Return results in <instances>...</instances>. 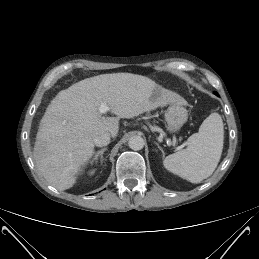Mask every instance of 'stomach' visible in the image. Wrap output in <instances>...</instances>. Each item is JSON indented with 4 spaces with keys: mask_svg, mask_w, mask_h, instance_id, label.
Returning a JSON list of instances; mask_svg holds the SVG:
<instances>
[{
    "mask_svg": "<svg viewBox=\"0 0 259 259\" xmlns=\"http://www.w3.org/2000/svg\"><path fill=\"white\" fill-rule=\"evenodd\" d=\"M188 113L187 110L180 104H171L166 113L165 120L167 122V130L170 133H177L187 121Z\"/></svg>",
    "mask_w": 259,
    "mask_h": 259,
    "instance_id": "obj_1",
    "label": "stomach"
}]
</instances>
